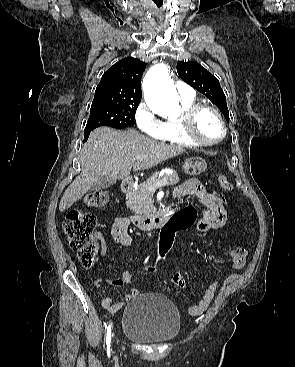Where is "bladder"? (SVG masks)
I'll use <instances>...</instances> for the list:
<instances>
[{"mask_svg": "<svg viewBox=\"0 0 295 367\" xmlns=\"http://www.w3.org/2000/svg\"><path fill=\"white\" fill-rule=\"evenodd\" d=\"M180 313L166 296L141 294L124 308L122 332L140 343H163L174 339L180 330Z\"/></svg>", "mask_w": 295, "mask_h": 367, "instance_id": "bladder-1", "label": "bladder"}]
</instances>
